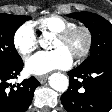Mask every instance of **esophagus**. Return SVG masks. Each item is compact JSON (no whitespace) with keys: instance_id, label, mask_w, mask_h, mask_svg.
Instances as JSON below:
<instances>
[{"instance_id":"esophagus-1","label":"esophagus","mask_w":112,"mask_h":112,"mask_svg":"<svg viewBox=\"0 0 112 112\" xmlns=\"http://www.w3.org/2000/svg\"><path fill=\"white\" fill-rule=\"evenodd\" d=\"M47 79H48V76H47V75H43V76H39V77H38V81H39L41 84L45 83V82L47 81Z\"/></svg>"}]
</instances>
